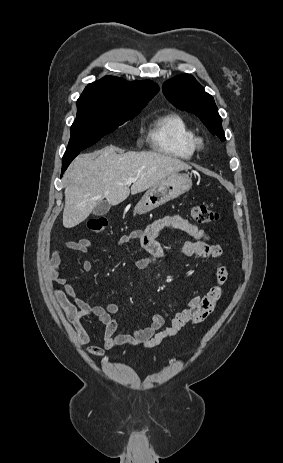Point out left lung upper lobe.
I'll return each mask as SVG.
<instances>
[{
    "mask_svg": "<svg viewBox=\"0 0 283 463\" xmlns=\"http://www.w3.org/2000/svg\"><path fill=\"white\" fill-rule=\"evenodd\" d=\"M166 98L177 108L194 113L208 130L225 140L222 120L213 97L189 74L177 76L163 85Z\"/></svg>",
    "mask_w": 283,
    "mask_h": 463,
    "instance_id": "obj_1",
    "label": "left lung upper lobe"
}]
</instances>
